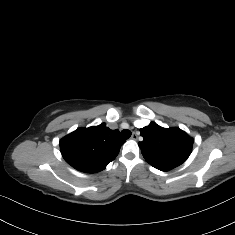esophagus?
<instances>
[{
	"label": "esophagus",
	"instance_id": "34e87169",
	"mask_svg": "<svg viewBox=\"0 0 235 235\" xmlns=\"http://www.w3.org/2000/svg\"><path fill=\"white\" fill-rule=\"evenodd\" d=\"M131 139L132 140H137L138 139V135L135 132H133L132 135H131Z\"/></svg>",
	"mask_w": 235,
	"mask_h": 235
}]
</instances>
